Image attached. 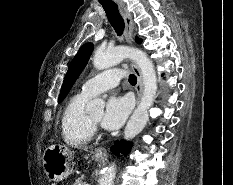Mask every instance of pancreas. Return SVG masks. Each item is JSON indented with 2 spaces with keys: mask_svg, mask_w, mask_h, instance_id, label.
I'll list each match as a JSON object with an SVG mask.
<instances>
[{
  "mask_svg": "<svg viewBox=\"0 0 233 185\" xmlns=\"http://www.w3.org/2000/svg\"><path fill=\"white\" fill-rule=\"evenodd\" d=\"M73 185H84L81 179H77Z\"/></svg>",
  "mask_w": 233,
  "mask_h": 185,
  "instance_id": "cf45deb5",
  "label": "pancreas"
}]
</instances>
